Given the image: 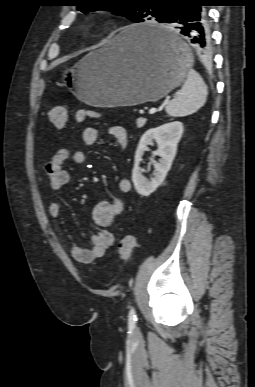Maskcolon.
I'll return each mask as SVG.
<instances>
[{"label": "colon", "instance_id": "obj_1", "mask_svg": "<svg viewBox=\"0 0 255 387\" xmlns=\"http://www.w3.org/2000/svg\"><path fill=\"white\" fill-rule=\"evenodd\" d=\"M99 115L92 110H80L76 118L78 121H83L87 118H97ZM49 121L57 128H64L69 121V114L64 106L57 105L52 107L48 112ZM138 242L133 235L127 234L122 237L118 244V254L123 262H128L132 257L134 250L137 248Z\"/></svg>", "mask_w": 255, "mask_h": 387}]
</instances>
